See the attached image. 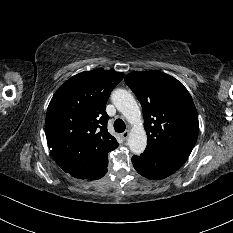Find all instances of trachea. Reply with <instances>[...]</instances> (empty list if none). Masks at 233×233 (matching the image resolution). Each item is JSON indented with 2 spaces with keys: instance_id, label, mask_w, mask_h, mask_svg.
I'll use <instances>...</instances> for the list:
<instances>
[{
  "instance_id": "obj_1",
  "label": "trachea",
  "mask_w": 233,
  "mask_h": 233,
  "mask_svg": "<svg viewBox=\"0 0 233 233\" xmlns=\"http://www.w3.org/2000/svg\"><path fill=\"white\" fill-rule=\"evenodd\" d=\"M125 123L122 119H117L115 122H114V129L116 132L118 133H122L125 131Z\"/></svg>"
}]
</instances>
